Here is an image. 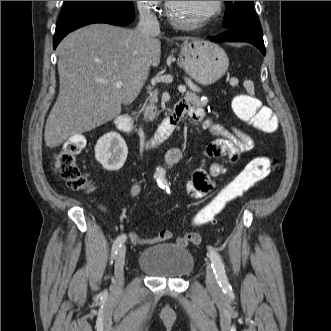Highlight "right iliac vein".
Instances as JSON below:
<instances>
[{"instance_id": "right-iliac-vein-1", "label": "right iliac vein", "mask_w": 331, "mask_h": 331, "mask_svg": "<svg viewBox=\"0 0 331 331\" xmlns=\"http://www.w3.org/2000/svg\"><path fill=\"white\" fill-rule=\"evenodd\" d=\"M125 254H126V247L122 246L116 257L115 261V280H116V289L119 291L121 290L123 283H124V265H125Z\"/></svg>"}]
</instances>
